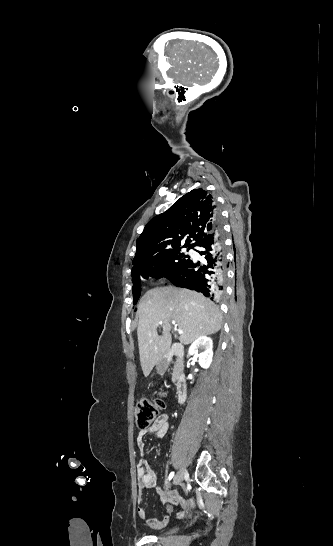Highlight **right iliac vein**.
Segmentation results:
<instances>
[{"label": "right iliac vein", "instance_id": "obj_1", "mask_svg": "<svg viewBox=\"0 0 333 546\" xmlns=\"http://www.w3.org/2000/svg\"><path fill=\"white\" fill-rule=\"evenodd\" d=\"M186 476V470L184 468L180 469V471L176 474L173 484L177 485L183 481V479Z\"/></svg>", "mask_w": 333, "mask_h": 546}]
</instances>
